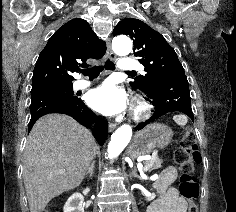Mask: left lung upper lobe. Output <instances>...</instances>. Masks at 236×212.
Instances as JSON below:
<instances>
[{"label": "left lung upper lobe", "mask_w": 236, "mask_h": 212, "mask_svg": "<svg viewBox=\"0 0 236 212\" xmlns=\"http://www.w3.org/2000/svg\"><path fill=\"white\" fill-rule=\"evenodd\" d=\"M129 35L134 42V54L143 64L145 76L134 78L130 84L145 93L156 89V86L178 74H184L174 49L165 38L143 21L134 18L122 20L113 30V35Z\"/></svg>", "instance_id": "obj_1"}]
</instances>
